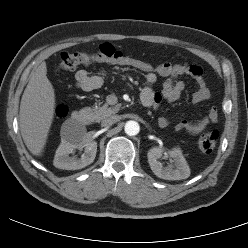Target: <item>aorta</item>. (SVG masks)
I'll use <instances>...</instances> for the list:
<instances>
[{"mask_svg": "<svg viewBox=\"0 0 248 248\" xmlns=\"http://www.w3.org/2000/svg\"><path fill=\"white\" fill-rule=\"evenodd\" d=\"M124 130L127 135L134 136L139 133L140 126L138 122L130 120L126 122Z\"/></svg>", "mask_w": 248, "mask_h": 248, "instance_id": "aorta-1", "label": "aorta"}]
</instances>
